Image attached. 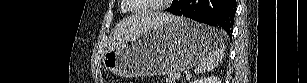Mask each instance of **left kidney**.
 Listing matches in <instances>:
<instances>
[{"instance_id": "5707ae66", "label": "left kidney", "mask_w": 307, "mask_h": 83, "mask_svg": "<svg viewBox=\"0 0 307 83\" xmlns=\"http://www.w3.org/2000/svg\"><path fill=\"white\" fill-rule=\"evenodd\" d=\"M192 83H221L220 78L216 76H210L205 78H200L192 81Z\"/></svg>"}]
</instances>
